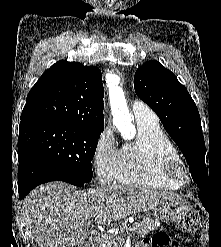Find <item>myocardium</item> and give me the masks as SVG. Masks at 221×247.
Instances as JSON below:
<instances>
[{
    "mask_svg": "<svg viewBox=\"0 0 221 247\" xmlns=\"http://www.w3.org/2000/svg\"><path fill=\"white\" fill-rule=\"evenodd\" d=\"M162 173L181 184H187L190 180L189 171L182 159L176 157H165L161 162Z\"/></svg>",
    "mask_w": 221,
    "mask_h": 247,
    "instance_id": "1",
    "label": "myocardium"
}]
</instances>
